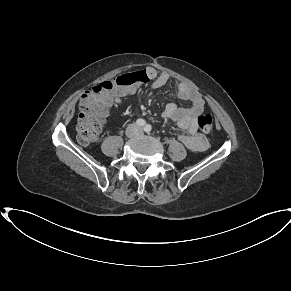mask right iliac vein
<instances>
[{
  "label": "right iliac vein",
  "mask_w": 291,
  "mask_h": 291,
  "mask_svg": "<svg viewBox=\"0 0 291 291\" xmlns=\"http://www.w3.org/2000/svg\"><path fill=\"white\" fill-rule=\"evenodd\" d=\"M136 134V127L135 126H130L126 130V136L127 137H132Z\"/></svg>",
  "instance_id": "63e3f726"
}]
</instances>
